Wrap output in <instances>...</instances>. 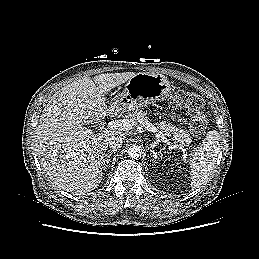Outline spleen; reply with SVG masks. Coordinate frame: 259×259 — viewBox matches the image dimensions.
Masks as SVG:
<instances>
[{
    "mask_svg": "<svg viewBox=\"0 0 259 259\" xmlns=\"http://www.w3.org/2000/svg\"><path fill=\"white\" fill-rule=\"evenodd\" d=\"M220 135L218 131H209L202 146L197 147L191 153L190 176L191 187L200 188L207 183L212 176L216 159L219 153Z\"/></svg>",
    "mask_w": 259,
    "mask_h": 259,
    "instance_id": "spleen-1",
    "label": "spleen"
}]
</instances>
